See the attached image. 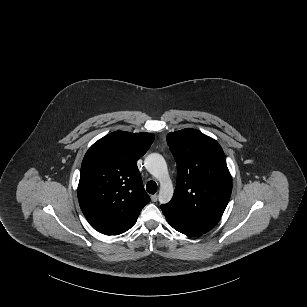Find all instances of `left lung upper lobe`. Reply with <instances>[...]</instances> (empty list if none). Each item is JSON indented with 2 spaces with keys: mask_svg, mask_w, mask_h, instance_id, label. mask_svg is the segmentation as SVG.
<instances>
[{
  "mask_svg": "<svg viewBox=\"0 0 307 307\" xmlns=\"http://www.w3.org/2000/svg\"><path fill=\"white\" fill-rule=\"evenodd\" d=\"M177 162V184L172 200L161 207L204 232L220 220L230 199L232 178L217 141L195 129L167 135Z\"/></svg>",
  "mask_w": 307,
  "mask_h": 307,
  "instance_id": "1",
  "label": "left lung upper lobe"
}]
</instances>
